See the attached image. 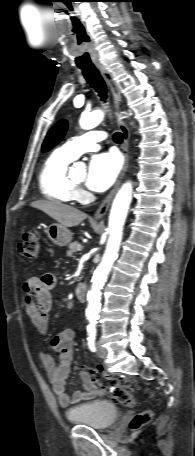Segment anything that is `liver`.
Returning a JSON list of instances; mask_svg holds the SVG:
<instances>
[{
	"label": "liver",
	"mask_w": 195,
	"mask_h": 456,
	"mask_svg": "<svg viewBox=\"0 0 195 456\" xmlns=\"http://www.w3.org/2000/svg\"><path fill=\"white\" fill-rule=\"evenodd\" d=\"M31 206L43 211L65 228L77 226L87 218L86 213L57 201L38 200Z\"/></svg>",
	"instance_id": "obj_1"
}]
</instances>
